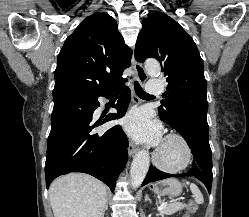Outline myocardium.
<instances>
[{
	"label": "myocardium",
	"mask_w": 249,
	"mask_h": 217,
	"mask_svg": "<svg viewBox=\"0 0 249 217\" xmlns=\"http://www.w3.org/2000/svg\"><path fill=\"white\" fill-rule=\"evenodd\" d=\"M167 142L176 143L181 149V157L178 161L174 163L166 162L161 156V149L164 144ZM192 159V150L187 142V140L179 133H170L168 134L161 146L154 152L153 161L154 163L163 171L176 173L184 170L191 162Z\"/></svg>",
	"instance_id": "f54148a6"
}]
</instances>
